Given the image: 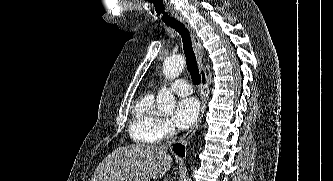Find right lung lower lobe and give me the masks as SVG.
Masks as SVG:
<instances>
[{"mask_svg": "<svg viewBox=\"0 0 333 181\" xmlns=\"http://www.w3.org/2000/svg\"><path fill=\"white\" fill-rule=\"evenodd\" d=\"M174 152L177 153L179 156H184V149L185 147L181 144H175L173 146Z\"/></svg>", "mask_w": 333, "mask_h": 181, "instance_id": "right-lung-lower-lobe-1", "label": "right lung lower lobe"}]
</instances>
